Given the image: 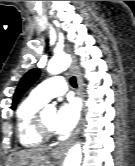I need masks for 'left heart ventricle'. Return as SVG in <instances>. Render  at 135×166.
<instances>
[{"mask_svg":"<svg viewBox=\"0 0 135 166\" xmlns=\"http://www.w3.org/2000/svg\"><path fill=\"white\" fill-rule=\"evenodd\" d=\"M55 115L56 114L54 112L45 111L43 113V122L46 125V127L49 128L50 130H53L52 126L55 119Z\"/></svg>","mask_w":135,"mask_h":166,"instance_id":"obj_1","label":"left heart ventricle"}]
</instances>
